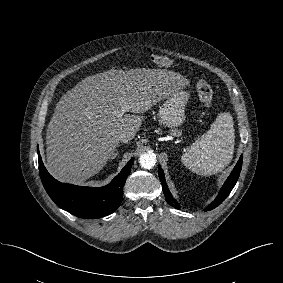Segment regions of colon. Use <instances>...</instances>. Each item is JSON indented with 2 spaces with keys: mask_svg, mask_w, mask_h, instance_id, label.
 I'll return each mask as SVG.
<instances>
[{
  "mask_svg": "<svg viewBox=\"0 0 283 283\" xmlns=\"http://www.w3.org/2000/svg\"><path fill=\"white\" fill-rule=\"evenodd\" d=\"M151 60L156 65L162 67H169L172 65V61L168 57L162 55H153ZM196 92L202 104L206 108H211L213 105V90L211 86L205 80L200 79L196 82Z\"/></svg>",
  "mask_w": 283,
  "mask_h": 283,
  "instance_id": "colon-1",
  "label": "colon"
}]
</instances>
